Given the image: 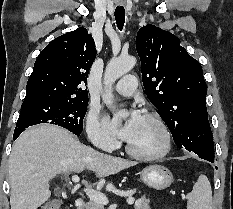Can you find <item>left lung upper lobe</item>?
Instances as JSON below:
<instances>
[{
    "label": "left lung upper lobe",
    "instance_id": "1",
    "mask_svg": "<svg viewBox=\"0 0 233 209\" xmlns=\"http://www.w3.org/2000/svg\"><path fill=\"white\" fill-rule=\"evenodd\" d=\"M179 44L175 35L154 25L138 31L143 86L176 145L200 158L214 159L202 67Z\"/></svg>",
    "mask_w": 233,
    "mask_h": 209
}]
</instances>
